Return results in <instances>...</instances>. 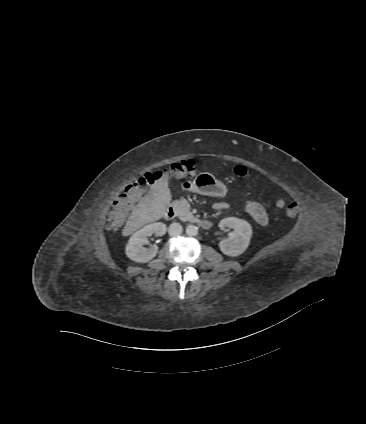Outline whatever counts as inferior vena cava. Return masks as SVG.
Listing matches in <instances>:
<instances>
[{
  "label": "inferior vena cava",
  "mask_w": 366,
  "mask_h": 424,
  "mask_svg": "<svg viewBox=\"0 0 366 424\" xmlns=\"http://www.w3.org/2000/svg\"><path fill=\"white\" fill-rule=\"evenodd\" d=\"M183 229L179 223H172L169 226L168 233L170 236H177L182 233Z\"/></svg>",
  "instance_id": "obj_1"
}]
</instances>
